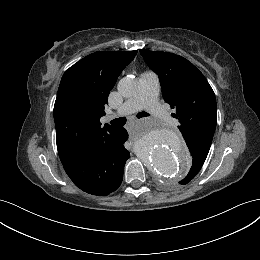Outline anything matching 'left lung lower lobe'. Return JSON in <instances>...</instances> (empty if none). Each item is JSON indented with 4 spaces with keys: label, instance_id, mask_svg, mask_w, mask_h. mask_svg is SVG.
<instances>
[{
    "label": "left lung lower lobe",
    "instance_id": "obj_1",
    "mask_svg": "<svg viewBox=\"0 0 260 260\" xmlns=\"http://www.w3.org/2000/svg\"><path fill=\"white\" fill-rule=\"evenodd\" d=\"M190 153H191V157H192V166H191V169H190L188 175L186 176V178H184L183 180H181L179 182L182 185L189 183L197 175V173L200 171V169L202 167L201 163L203 161V157L200 155V153H198L194 150L191 151Z\"/></svg>",
    "mask_w": 260,
    "mask_h": 260
}]
</instances>
